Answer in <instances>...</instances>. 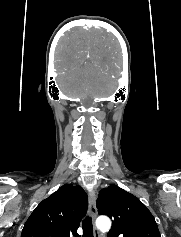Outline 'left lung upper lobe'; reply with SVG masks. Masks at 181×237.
<instances>
[{
    "label": "left lung upper lobe",
    "mask_w": 181,
    "mask_h": 237,
    "mask_svg": "<svg viewBox=\"0 0 181 237\" xmlns=\"http://www.w3.org/2000/svg\"><path fill=\"white\" fill-rule=\"evenodd\" d=\"M96 206L100 215H107L113 220L107 237H161L147 207L117 185L102 189Z\"/></svg>",
    "instance_id": "obj_1"
}]
</instances>
